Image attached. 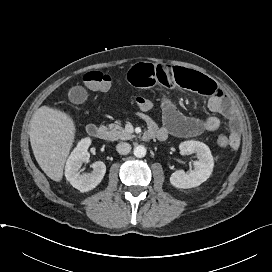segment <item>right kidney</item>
<instances>
[{"mask_svg": "<svg viewBox=\"0 0 272 272\" xmlns=\"http://www.w3.org/2000/svg\"><path fill=\"white\" fill-rule=\"evenodd\" d=\"M90 145V138L82 139L72 151L65 167L66 179L81 192H87L95 188L106 173V166L102 161H96L91 165L93 168L91 173H81L82 164L89 162L90 154L87 150Z\"/></svg>", "mask_w": 272, "mask_h": 272, "instance_id": "right-kidney-1", "label": "right kidney"}]
</instances>
